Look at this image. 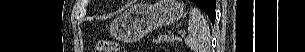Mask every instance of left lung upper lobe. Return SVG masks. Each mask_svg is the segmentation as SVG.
<instances>
[{"label":"left lung upper lobe","mask_w":305,"mask_h":52,"mask_svg":"<svg viewBox=\"0 0 305 52\" xmlns=\"http://www.w3.org/2000/svg\"><path fill=\"white\" fill-rule=\"evenodd\" d=\"M206 0H195V4H197L199 7L204 6Z\"/></svg>","instance_id":"obj_1"}]
</instances>
